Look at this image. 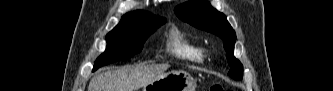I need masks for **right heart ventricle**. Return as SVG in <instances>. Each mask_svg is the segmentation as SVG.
<instances>
[{
    "mask_svg": "<svg viewBox=\"0 0 333 91\" xmlns=\"http://www.w3.org/2000/svg\"><path fill=\"white\" fill-rule=\"evenodd\" d=\"M167 46L173 56L188 62L203 63L206 58L203 45L187 37L176 27H172L169 32Z\"/></svg>",
    "mask_w": 333,
    "mask_h": 91,
    "instance_id": "obj_1",
    "label": "right heart ventricle"
}]
</instances>
